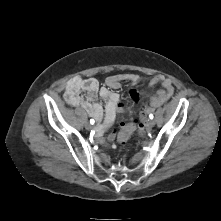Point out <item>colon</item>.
Returning <instances> with one entry per match:
<instances>
[{"instance_id": "colon-1", "label": "colon", "mask_w": 221, "mask_h": 221, "mask_svg": "<svg viewBox=\"0 0 221 221\" xmlns=\"http://www.w3.org/2000/svg\"><path fill=\"white\" fill-rule=\"evenodd\" d=\"M147 112L148 111H143V115H145ZM138 128V122L134 118H131L128 120V122L123 123L115 137L117 143L122 145L131 141L133 138L132 133L137 131Z\"/></svg>"}]
</instances>
